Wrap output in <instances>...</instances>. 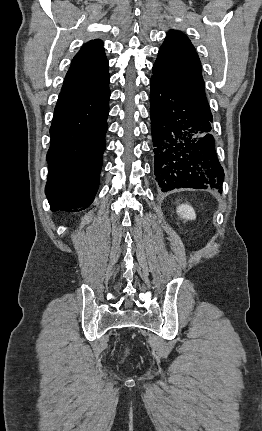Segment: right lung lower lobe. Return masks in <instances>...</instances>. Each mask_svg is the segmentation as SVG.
I'll use <instances>...</instances> for the list:
<instances>
[{
  "label": "right lung lower lobe",
  "mask_w": 262,
  "mask_h": 431,
  "mask_svg": "<svg viewBox=\"0 0 262 431\" xmlns=\"http://www.w3.org/2000/svg\"><path fill=\"white\" fill-rule=\"evenodd\" d=\"M110 90L61 92L50 128L46 196L52 211L87 208L98 190Z\"/></svg>",
  "instance_id": "right-lung-lower-lobe-1"
}]
</instances>
